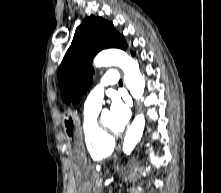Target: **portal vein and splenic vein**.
Here are the masks:
<instances>
[{"label":"portal vein and splenic vein","instance_id":"1","mask_svg":"<svg viewBox=\"0 0 221 193\" xmlns=\"http://www.w3.org/2000/svg\"><path fill=\"white\" fill-rule=\"evenodd\" d=\"M102 183H103V178H100L98 182L99 186H102Z\"/></svg>","mask_w":221,"mask_h":193}]
</instances>
